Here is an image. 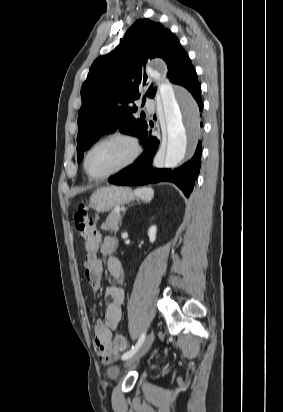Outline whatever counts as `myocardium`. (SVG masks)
<instances>
[{
	"mask_svg": "<svg viewBox=\"0 0 283 412\" xmlns=\"http://www.w3.org/2000/svg\"><path fill=\"white\" fill-rule=\"evenodd\" d=\"M113 139H122L127 141L132 148V153L130 155V157L128 158V160L126 162H124L121 166L117 167L116 169L103 174V175H95L93 173H91V171L88 168V159L89 156L91 154V152L101 143H104L106 141L109 140H113ZM141 144L138 140V138L136 136H134L133 134L126 132V131H115V132H111L107 135L102 136L101 138H99L98 140H96L86 151L85 155H84V159H83V168L86 172V174L94 179V180H103L106 178H109L125 169H127L128 167H130L140 156L141 154Z\"/></svg>",
	"mask_w": 283,
	"mask_h": 412,
	"instance_id": "1",
	"label": "myocardium"
}]
</instances>
